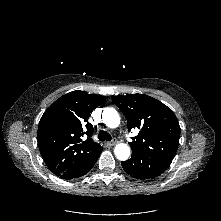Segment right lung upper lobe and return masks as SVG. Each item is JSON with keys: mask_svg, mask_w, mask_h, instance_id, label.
I'll return each instance as SVG.
<instances>
[{"mask_svg": "<svg viewBox=\"0 0 221 221\" xmlns=\"http://www.w3.org/2000/svg\"><path fill=\"white\" fill-rule=\"evenodd\" d=\"M106 100L76 90L56 100L42 115L37 133L39 150L46 165L60 175L101 150L92 140L90 113Z\"/></svg>", "mask_w": 221, "mask_h": 221, "instance_id": "1", "label": "right lung upper lobe"}]
</instances>
